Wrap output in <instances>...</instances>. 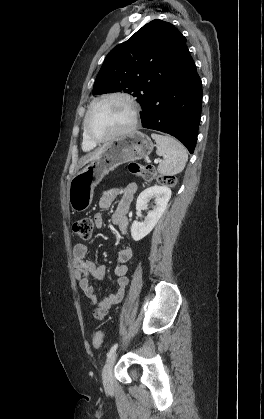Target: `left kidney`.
Instances as JSON below:
<instances>
[{
    "instance_id": "5707ae66",
    "label": "left kidney",
    "mask_w": 264,
    "mask_h": 419,
    "mask_svg": "<svg viewBox=\"0 0 264 419\" xmlns=\"http://www.w3.org/2000/svg\"><path fill=\"white\" fill-rule=\"evenodd\" d=\"M171 198V190L167 186H152L140 193L136 202V209L148 205L151 199H154V206L148 212L143 222L134 221L131 226V236L133 240L139 241L147 236L155 227L163 213L167 208V204Z\"/></svg>"
}]
</instances>
